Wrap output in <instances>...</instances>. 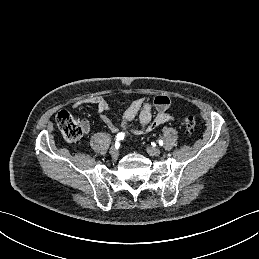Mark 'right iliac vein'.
Segmentation results:
<instances>
[{
	"mask_svg": "<svg viewBox=\"0 0 259 259\" xmlns=\"http://www.w3.org/2000/svg\"><path fill=\"white\" fill-rule=\"evenodd\" d=\"M109 153H110L111 157H112L114 160H116V159L118 158L119 151H118L117 148L111 147Z\"/></svg>",
	"mask_w": 259,
	"mask_h": 259,
	"instance_id": "right-iliac-vein-1",
	"label": "right iliac vein"
}]
</instances>
